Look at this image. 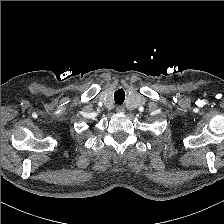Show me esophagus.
Segmentation results:
<instances>
[{
    "label": "esophagus",
    "mask_w": 224,
    "mask_h": 224,
    "mask_svg": "<svg viewBox=\"0 0 224 224\" xmlns=\"http://www.w3.org/2000/svg\"><path fill=\"white\" fill-rule=\"evenodd\" d=\"M116 111H117V112H125V109H124V107H122V106H118V107L116 108Z\"/></svg>",
    "instance_id": "esophagus-1"
}]
</instances>
